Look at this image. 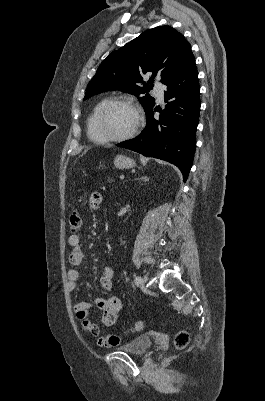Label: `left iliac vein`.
<instances>
[{
	"label": "left iliac vein",
	"mask_w": 265,
	"mask_h": 401,
	"mask_svg": "<svg viewBox=\"0 0 265 401\" xmlns=\"http://www.w3.org/2000/svg\"><path fill=\"white\" fill-rule=\"evenodd\" d=\"M142 279V281H141V288H144L145 287V283H146V281H147V277L145 276V277H143V278H141Z\"/></svg>",
	"instance_id": "left-iliac-vein-1"
}]
</instances>
